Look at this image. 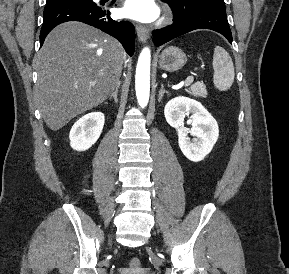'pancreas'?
Returning a JSON list of instances; mask_svg holds the SVG:
<instances>
[{"mask_svg": "<svg viewBox=\"0 0 289 274\" xmlns=\"http://www.w3.org/2000/svg\"><path fill=\"white\" fill-rule=\"evenodd\" d=\"M189 93L195 97H207V90L203 83L196 82L189 88Z\"/></svg>", "mask_w": 289, "mask_h": 274, "instance_id": "obj_1", "label": "pancreas"}]
</instances>
